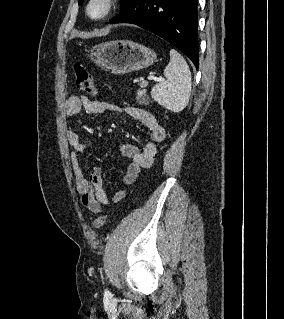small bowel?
<instances>
[{"instance_id": "obj_1", "label": "small bowel", "mask_w": 284, "mask_h": 319, "mask_svg": "<svg viewBox=\"0 0 284 319\" xmlns=\"http://www.w3.org/2000/svg\"><path fill=\"white\" fill-rule=\"evenodd\" d=\"M82 110L89 115H100L106 111L123 112L130 118L139 121L146 128L149 139L143 148L133 144L119 145L120 152L128 159L122 183L124 186H130L137 179L141 169L152 165L157 152V144L166 137L165 129L150 112L141 108L132 106L120 108L101 100H91L85 96H70L63 104V111L67 117L76 116ZM66 136L69 146L74 150L72 154V167L76 188L81 195L83 206L93 213H99L102 206H109L111 202L117 203L123 200L126 195L124 188L118 189L113 194L111 200L108 198L103 189L102 171L100 168H93L89 177L85 176L80 160V154L84 151L85 144L71 128L67 130Z\"/></svg>"}]
</instances>
